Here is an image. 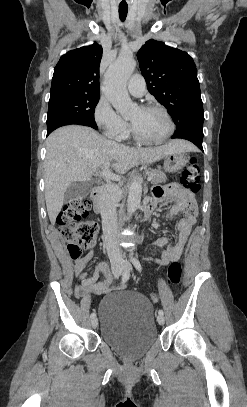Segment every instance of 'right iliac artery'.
<instances>
[{
    "label": "right iliac artery",
    "mask_w": 247,
    "mask_h": 407,
    "mask_svg": "<svg viewBox=\"0 0 247 407\" xmlns=\"http://www.w3.org/2000/svg\"><path fill=\"white\" fill-rule=\"evenodd\" d=\"M129 277H130V269H129V268H126V269L124 270L123 274H122L121 283H122V284L126 283V282L128 281V279H129ZM90 317H91L92 319H94V318H96V314H95V313H91Z\"/></svg>",
    "instance_id": "obj_1"
}]
</instances>
